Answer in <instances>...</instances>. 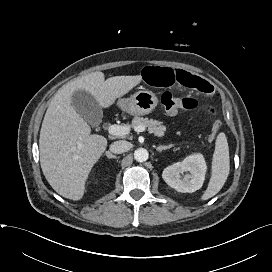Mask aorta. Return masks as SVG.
<instances>
[{
	"instance_id": "1",
	"label": "aorta",
	"mask_w": 272,
	"mask_h": 272,
	"mask_svg": "<svg viewBox=\"0 0 272 272\" xmlns=\"http://www.w3.org/2000/svg\"><path fill=\"white\" fill-rule=\"evenodd\" d=\"M149 153L144 148H138L134 151V158L138 162H144L148 159Z\"/></svg>"
}]
</instances>
